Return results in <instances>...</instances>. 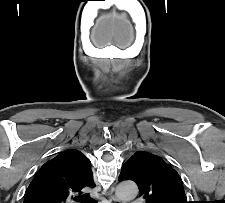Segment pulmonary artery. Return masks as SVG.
<instances>
[{"instance_id":"pulmonary-artery-1","label":"pulmonary artery","mask_w":225,"mask_h":203,"mask_svg":"<svg viewBox=\"0 0 225 203\" xmlns=\"http://www.w3.org/2000/svg\"><path fill=\"white\" fill-rule=\"evenodd\" d=\"M132 203H143V201L142 200H134V201H132Z\"/></svg>"}]
</instances>
